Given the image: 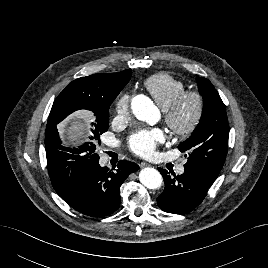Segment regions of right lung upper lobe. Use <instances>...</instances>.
I'll return each instance as SVG.
<instances>
[{"instance_id": "obj_1", "label": "right lung upper lobe", "mask_w": 268, "mask_h": 268, "mask_svg": "<svg viewBox=\"0 0 268 268\" xmlns=\"http://www.w3.org/2000/svg\"><path fill=\"white\" fill-rule=\"evenodd\" d=\"M131 74V69H128L117 73L93 74L78 78L72 81L55 101L65 103L67 116L80 109L92 111L94 114L109 110L113 100L129 82ZM57 124H47L48 130H56ZM65 193L58 194L61 197Z\"/></svg>"}]
</instances>
